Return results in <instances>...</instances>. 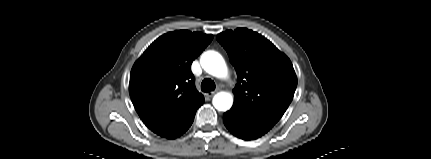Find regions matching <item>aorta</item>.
Returning <instances> with one entry per match:
<instances>
[{
  "label": "aorta",
  "mask_w": 431,
  "mask_h": 159,
  "mask_svg": "<svg viewBox=\"0 0 431 159\" xmlns=\"http://www.w3.org/2000/svg\"><path fill=\"white\" fill-rule=\"evenodd\" d=\"M202 68L212 76L225 78L228 75L225 60L216 51H207L200 58ZM213 106L218 111H227L233 105V96L227 92H219L213 98Z\"/></svg>",
  "instance_id": "1"
}]
</instances>
